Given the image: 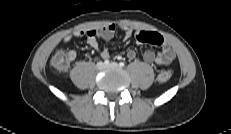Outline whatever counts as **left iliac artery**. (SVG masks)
Segmentation results:
<instances>
[{"instance_id": "1", "label": "left iliac artery", "mask_w": 231, "mask_h": 134, "mask_svg": "<svg viewBox=\"0 0 231 134\" xmlns=\"http://www.w3.org/2000/svg\"><path fill=\"white\" fill-rule=\"evenodd\" d=\"M119 66H120V67H124L125 64H124L123 62H120V63H119Z\"/></svg>"}]
</instances>
